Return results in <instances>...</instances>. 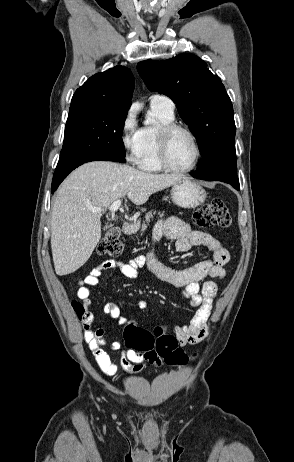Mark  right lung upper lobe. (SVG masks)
I'll list each match as a JSON object with an SVG mask.
<instances>
[{"label": "right lung upper lobe", "mask_w": 294, "mask_h": 462, "mask_svg": "<svg viewBox=\"0 0 294 462\" xmlns=\"http://www.w3.org/2000/svg\"><path fill=\"white\" fill-rule=\"evenodd\" d=\"M133 90L131 70L116 66L90 77L74 93L70 108L96 106L128 110Z\"/></svg>", "instance_id": "right-lung-upper-lobe-1"}]
</instances>
